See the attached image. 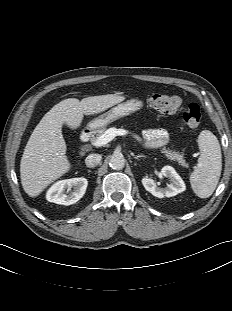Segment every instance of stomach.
I'll return each instance as SVG.
<instances>
[{"mask_svg":"<svg viewBox=\"0 0 232 311\" xmlns=\"http://www.w3.org/2000/svg\"><path fill=\"white\" fill-rule=\"evenodd\" d=\"M143 106V103L139 99H130L126 102L120 103L117 106L111 108L109 111L99 115L98 117L92 119L87 124V129L92 132H98L103 127H106L108 124L113 121L128 116L135 111H138Z\"/></svg>","mask_w":232,"mask_h":311,"instance_id":"1","label":"stomach"}]
</instances>
